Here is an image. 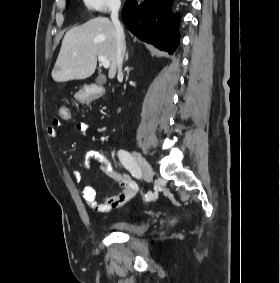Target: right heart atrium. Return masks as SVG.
<instances>
[{
    "label": "right heart atrium",
    "mask_w": 280,
    "mask_h": 283,
    "mask_svg": "<svg viewBox=\"0 0 280 283\" xmlns=\"http://www.w3.org/2000/svg\"><path fill=\"white\" fill-rule=\"evenodd\" d=\"M84 7L91 12H115L121 6V0H83Z\"/></svg>",
    "instance_id": "right-heart-atrium-1"
}]
</instances>
